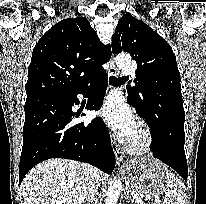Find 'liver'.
Returning a JSON list of instances; mask_svg holds the SVG:
<instances>
[{"label":"liver","mask_w":206,"mask_h":204,"mask_svg":"<svg viewBox=\"0 0 206 204\" xmlns=\"http://www.w3.org/2000/svg\"><path fill=\"white\" fill-rule=\"evenodd\" d=\"M91 176L90 165L85 163L68 159L43 161L21 183L23 204H83Z\"/></svg>","instance_id":"6515ba94"}]
</instances>
